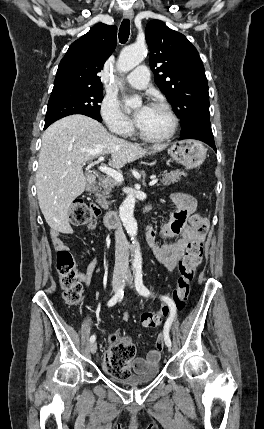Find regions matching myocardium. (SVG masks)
Listing matches in <instances>:
<instances>
[{
    "label": "myocardium",
    "mask_w": 264,
    "mask_h": 429,
    "mask_svg": "<svg viewBox=\"0 0 264 429\" xmlns=\"http://www.w3.org/2000/svg\"><path fill=\"white\" fill-rule=\"evenodd\" d=\"M150 107L161 109L170 117V119H171L170 131L166 135L161 136V137H150V136H147L146 134H144L143 131L138 126V124H136L137 135L142 140L147 141V142H152V143H160V142H164V141L171 139L175 135L177 128H178V118H177L176 114L170 108V106L164 102H159V101L152 102L150 104Z\"/></svg>",
    "instance_id": "obj_1"
}]
</instances>
